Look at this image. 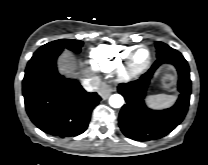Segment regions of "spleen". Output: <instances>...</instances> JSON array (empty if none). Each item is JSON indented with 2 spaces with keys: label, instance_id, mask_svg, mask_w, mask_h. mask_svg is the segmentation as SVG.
<instances>
[{
  "label": "spleen",
  "instance_id": "1",
  "mask_svg": "<svg viewBox=\"0 0 208 165\" xmlns=\"http://www.w3.org/2000/svg\"><path fill=\"white\" fill-rule=\"evenodd\" d=\"M176 97L174 95L159 94L148 98L151 107L156 109H163L174 104Z\"/></svg>",
  "mask_w": 208,
  "mask_h": 165
}]
</instances>
